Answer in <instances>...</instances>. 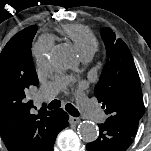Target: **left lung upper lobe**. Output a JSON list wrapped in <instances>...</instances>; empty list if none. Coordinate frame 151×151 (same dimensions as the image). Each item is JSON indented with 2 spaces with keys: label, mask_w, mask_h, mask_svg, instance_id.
I'll use <instances>...</instances> for the list:
<instances>
[{
  "label": "left lung upper lobe",
  "mask_w": 151,
  "mask_h": 151,
  "mask_svg": "<svg viewBox=\"0 0 151 151\" xmlns=\"http://www.w3.org/2000/svg\"><path fill=\"white\" fill-rule=\"evenodd\" d=\"M109 61L103 68L94 96L108 114L107 124L134 136L144 103L139 75L132 55L122 39L108 27L101 30Z\"/></svg>",
  "instance_id": "obj_1"
}]
</instances>
